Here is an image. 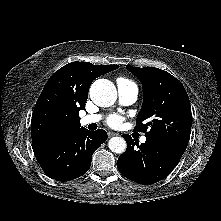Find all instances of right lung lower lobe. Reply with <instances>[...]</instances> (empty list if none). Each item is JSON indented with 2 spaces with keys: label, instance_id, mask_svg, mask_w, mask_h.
<instances>
[{
  "label": "right lung lower lobe",
  "instance_id": "98d812e1",
  "mask_svg": "<svg viewBox=\"0 0 221 221\" xmlns=\"http://www.w3.org/2000/svg\"><path fill=\"white\" fill-rule=\"evenodd\" d=\"M106 139L105 130L88 131L82 127L54 145L34 153L46 175L57 181H68L88 171L92 154Z\"/></svg>",
  "mask_w": 221,
  "mask_h": 221
}]
</instances>
